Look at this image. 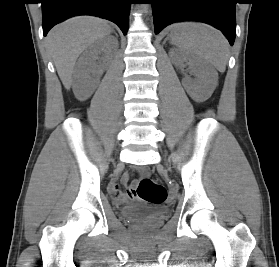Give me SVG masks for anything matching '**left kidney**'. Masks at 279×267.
Here are the masks:
<instances>
[{
    "instance_id": "obj_1",
    "label": "left kidney",
    "mask_w": 279,
    "mask_h": 267,
    "mask_svg": "<svg viewBox=\"0 0 279 267\" xmlns=\"http://www.w3.org/2000/svg\"><path fill=\"white\" fill-rule=\"evenodd\" d=\"M187 62L196 76L192 81L189 77L182 79V85L188 95L196 102L207 100L213 93L217 83V72L199 57L187 52H179L173 57V63L182 68Z\"/></svg>"
}]
</instances>
